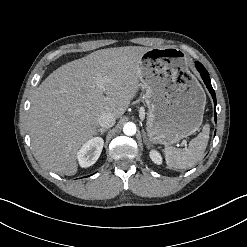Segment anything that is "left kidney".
I'll use <instances>...</instances> for the list:
<instances>
[{
    "instance_id": "5707ae66",
    "label": "left kidney",
    "mask_w": 247,
    "mask_h": 247,
    "mask_svg": "<svg viewBox=\"0 0 247 247\" xmlns=\"http://www.w3.org/2000/svg\"><path fill=\"white\" fill-rule=\"evenodd\" d=\"M150 158L155 164L160 165L162 163V157L156 150L150 151Z\"/></svg>"
}]
</instances>
